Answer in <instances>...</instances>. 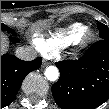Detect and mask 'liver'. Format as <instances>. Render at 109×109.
<instances>
[{
    "label": "liver",
    "mask_w": 109,
    "mask_h": 109,
    "mask_svg": "<svg viewBox=\"0 0 109 109\" xmlns=\"http://www.w3.org/2000/svg\"><path fill=\"white\" fill-rule=\"evenodd\" d=\"M46 24H47L46 21L37 22V23L32 24L31 29L38 30L41 27L46 26ZM8 46H9V44H8L7 38L4 35H2L1 36V52H2V54H4L5 52L8 51Z\"/></svg>",
    "instance_id": "1"
}]
</instances>
